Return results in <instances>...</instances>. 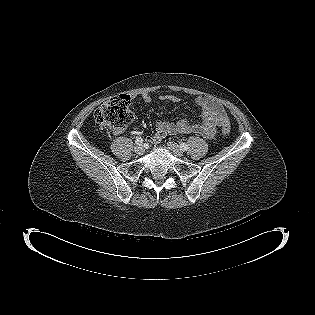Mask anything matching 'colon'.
<instances>
[{
    "instance_id": "colon-1",
    "label": "colon",
    "mask_w": 315,
    "mask_h": 315,
    "mask_svg": "<svg viewBox=\"0 0 315 315\" xmlns=\"http://www.w3.org/2000/svg\"><path fill=\"white\" fill-rule=\"evenodd\" d=\"M130 97L128 95H118L104 102L95 111L96 122L108 129L123 130L133 120L134 116L130 110ZM230 130L229 124L222 125L224 134H228Z\"/></svg>"
}]
</instances>
